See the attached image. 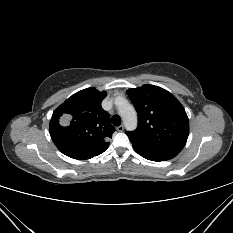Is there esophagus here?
Wrapping results in <instances>:
<instances>
[{
    "instance_id": "esophagus-1",
    "label": "esophagus",
    "mask_w": 233,
    "mask_h": 233,
    "mask_svg": "<svg viewBox=\"0 0 233 233\" xmlns=\"http://www.w3.org/2000/svg\"><path fill=\"white\" fill-rule=\"evenodd\" d=\"M117 131H119V132L124 131V126L123 125L118 126Z\"/></svg>"
}]
</instances>
